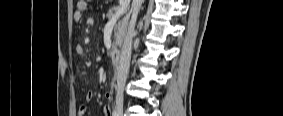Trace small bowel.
I'll return each instance as SVG.
<instances>
[{"label": "small bowel", "mask_w": 283, "mask_h": 116, "mask_svg": "<svg viewBox=\"0 0 283 116\" xmlns=\"http://www.w3.org/2000/svg\"><path fill=\"white\" fill-rule=\"evenodd\" d=\"M86 5H87L86 1H80L79 2V7L73 13V20L75 22H80V21L83 20V14H84ZM76 53L78 55H84V49L81 45L76 46ZM94 97H95L94 92L89 91V92L86 93V100L88 102L92 101L94 99ZM107 100L109 102L111 100V97L107 96ZM86 111H87L86 106H81L80 109H79V115H85ZM103 115L104 116H111V107H110L109 103H106L103 106Z\"/></svg>", "instance_id": "1"}]
</instances>
